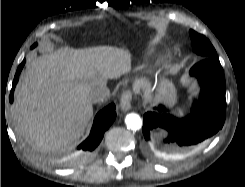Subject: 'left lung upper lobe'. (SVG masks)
Wrapping results in <instances>:
<instances>
[{"instance_id":"1","label":"left lung upper lobe","mask_w":245,"mask_h":187,"mask_svg":"<svg viewBox=\"0 0 245 187\" xmlns=\"http://www.w3.org/2000/svg\"><path fill=\"white\" fill-rule=\"evenodd\" d=\"M189 34L192 40V49L194 52L201 55L203 59L216 56L214 47L204 35L198 34L193 30H190Z\"/></svg>"}]
</instances>
